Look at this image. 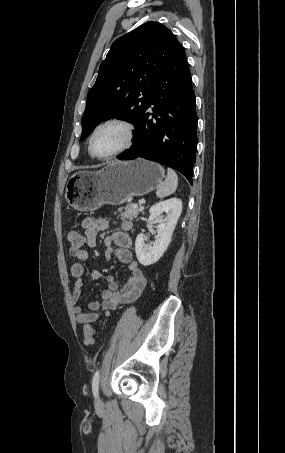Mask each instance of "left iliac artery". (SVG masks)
Segmentation results:
<instances>
[{"mask_svg":"<svg viewBox=\"0 0 285 453\" xmlns=\"http://www.w3.org/2000/svg\"><path fill=\"white\" fill-rule=\"evenodd\" d=\"M99 378H100V371L97 370L93 376L92 380V391L95 397H98V389H99Z\"/></svg>","mask_w":285,"mask_h":453,"instance_id":"1","label":"left iliac artery"}]
</instances>
